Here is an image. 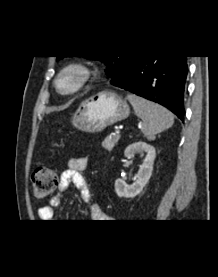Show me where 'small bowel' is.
I'll return each instance as SVG.
<instances>
[{"instance_id":"1","label":"small bowel","mask_w":218,"mask_h":277,"mask_svg":"<svg viewBox=\"0 0 218 277\" xmlns=\"http://www.w3.org/2000/svg\"><path fill=\"white\" fill-rule=\"evenodd\" d=\"M88 166V158L85 156L70 158L67 162V168L60 176L58 192L50 199L49 205L42 206L38 209L40 220L49 222L54 219L53 207L60 204L62 194L73 184L80 192L81 199L85 203H89L92 199L90 187L82 175V172ZM92 219L104 220L106 215L97 204L92 205Z\"/></svg>"}]
</instances>
